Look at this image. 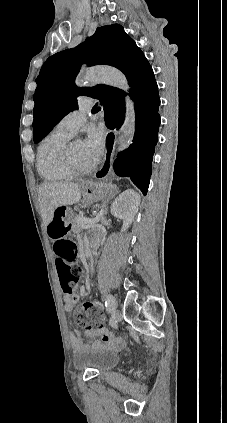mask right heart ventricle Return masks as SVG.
Masks as SVG:
<instances>
[{"mask_svg":"<svg viewBox=\"0 0 227 423\" xmlns=\"http://www.w3.org/2000/svg\"><path fill=\"white\" fill-rule=\"evenodd\" d=\"M72 136L56 126L41 140L37 148L36 168L43 179L60 181L69 178L62 153Z\"/></svg>","mask_w":227,"mask_h":423,"instance_id":"e07e8e85","label":"right heart ventricle"}]
</instances>
